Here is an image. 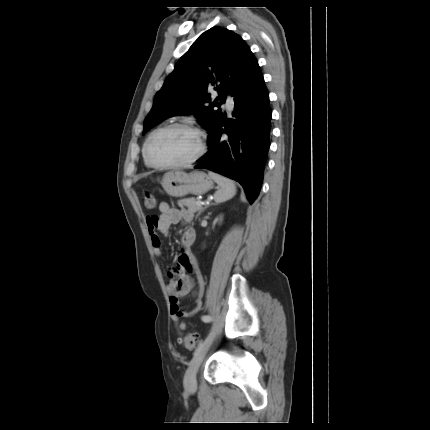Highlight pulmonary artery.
<instances>
[{"mask_svg":"<svg viewBox=\"0 0 430 430\" xmlns=\"http://www.w3.org/2000/svg\"><path fill=\"white\" fill-rule=\"evenodd\" d=\"M226 105H227V107H228L229 109H231V108L233 107V100H232V98H231V97H228V98H227Z\"/></svg>","mask_w":430,"mask_h":430,"instance_id":"e3ab8cb5","label":"pulmonary artery"}]
</instances>
